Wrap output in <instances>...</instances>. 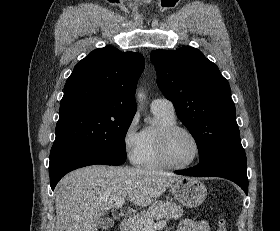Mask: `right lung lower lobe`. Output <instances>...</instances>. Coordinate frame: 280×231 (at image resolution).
Listing matches in <instances>:
<instances>
[{
  "instance_id": "right-lung-lower-lobe-1",
  "label": "right lung lower lobe",
  "mask_w": 280,
  "mask_h": 231,
  "mask_svg": "<svg viewBox=\"0 0 280 231\" xmlns=\"http://www.w3.org/2000/svg\"><path fill=\"white\" fill-rule=\"evenodd\" d=\"M124 162L74 145H53L49 163L51 189L54 190L65 174L77 168L95 164L121 165Z\"/></svg>"
}]
</instances>
